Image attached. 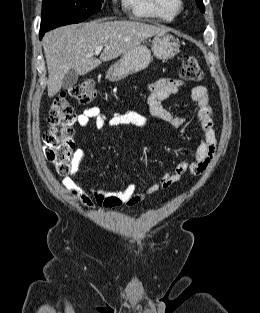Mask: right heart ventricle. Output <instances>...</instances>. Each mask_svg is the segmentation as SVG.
<instances>
[{
  "mask_svg": "<svg viewBox=\"0 0 260 313\" xmlns=\"http://www.w3.org/2000/svg\"><path fill=\"white\" fill-rule=\"evenodd\" d=\"M125 8L138 19L171 22L178 15L180 0H123Z\"/></svg>",
  "mask_w": 260,
  "mask_h": 313,
  "instance_id": "e07e8e85",
  "label": "right heart ventricle"
}]
</instances>
